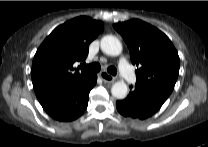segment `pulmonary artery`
I'll use <instances>...</instances> for the list:
<instances>
[{"mask_svg": "<svg viewBox=\"0 0 208 147\" xmlns=\"http://www.w3.org/2000/svg\"><path fill=\"white\" fill-rule=\"evenodd\" d=\"M119 69L125 80L129 83H132L135 81V75L128 64L127 60L125 58H121L119 61Z\"/></svg>", "mask_w": 208, "mask_h": 147, "instance_id": "pulmonary-artery-1", "label": "pulmonary artery"}]
</instances>
